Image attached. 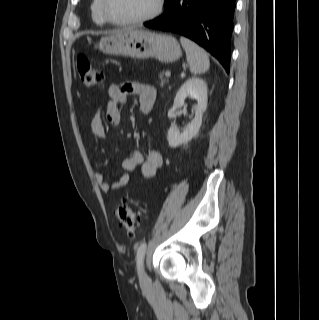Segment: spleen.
<instances>
[{"instance_id":"3e777b00","label":"spleen","mask_w":319,"mask_h":320,"mask_svg":"<svg viewBox=\"0 0 319 320\" xmlns=\"http://www.w3.org/2000/svg\"><path fill=\"white\" fill-rule=\"evenodd\" d=\"M180 42L186 51L187 62L193 74L205 73L210 67L207 53L196 43L186 37H181Z\"/></svg>"}]
</instances>
